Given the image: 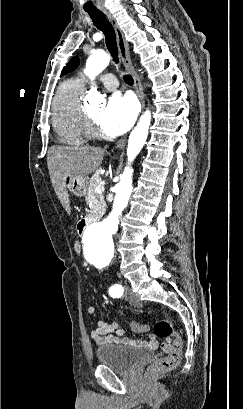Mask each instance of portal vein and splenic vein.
Segmentation results:
<instances>
[{"instance_id": "1", "label": "portal vein and splenic vein", "mask_w": 243, "mask_h": 409, "mask_svg": "<svg viewBox=\"0 0 243 409\" xmlns=\"http://www.w3.org/2000/svg\"><path fill=\"white\" fill-rule=\"evenodd\" d=\"M95 192L98 193V194H102L104 192V186L102 184L98 185L95 188Z\"/></svg>"}]
</instances>
